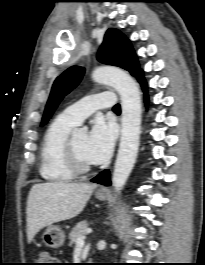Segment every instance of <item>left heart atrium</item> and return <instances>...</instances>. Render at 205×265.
<instances>
[{"mask_svg": "<svg viewBox=\"0 0 205 265\" xmlns=\"http://www.w3.org/2000/svg\"><path fill=\"white\" fill-rule=\"evenodd\" d=\"M115 129L102 119H97L88 135L86 155L93 164L106 161L114 147Z\"/></svg>", "mask_w": 205, "mask_h": 265, "instance_id": "39dd6f15", "label": "left heart atrium"}]
</instances>
